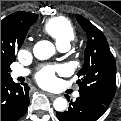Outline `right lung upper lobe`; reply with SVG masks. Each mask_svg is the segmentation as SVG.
<instances>
[{"mask_svg": "<svg viewBox=\"0 0 121 121\" xmlns=\"http://www.w3.org/2000/svg\"><path fill=\"white\" fill-rule=\"evenodd\" d=\"M37 19L38 15L34 13L15 12L1 20V79H4L3 66L16 60L15 51L21 47L27 33L25 31Z\"/></svg>", "mask_w": 121, "mask_h": 121, "instance_id": "cb5924a9", "label": "right lung upper lobe"}]
</instances>
